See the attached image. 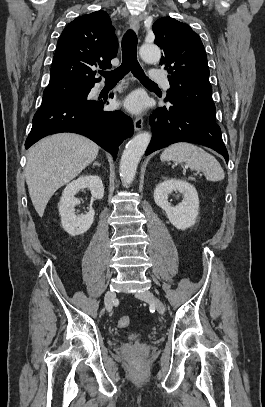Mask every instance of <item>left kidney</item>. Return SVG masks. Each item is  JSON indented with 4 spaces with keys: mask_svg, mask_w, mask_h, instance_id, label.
I'll return each instance as SVG.
<instances>
[{
    "mask_svg": "<svg viewBox=\"0 0 265 407\" xmlns=\"http://www.w3.org/2000/svg\"><path fill=\"white\" fill-rule=\"evenodd\" d=\"M173 191L183 195L182 202L175 207L168 202V195ZM154 200L177 229L186 230L195 224L199 214V198L195 187L190 183L180 179H166L157 185Z\"/></svg>",
    "mask_w": 265,
    "mask_h": 407,
    "instance_id": "obj_1",
    "label": "left kidney"
}]
</instances>
